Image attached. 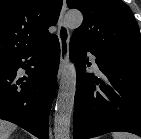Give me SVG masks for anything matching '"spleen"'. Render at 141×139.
Masks as SVG:
<instances>
[{
  "label": "spleen",
  "mask_w": 141,
  "mask_h": 139,
  "mask_svg": "<svg viewBox=\"0 0 141 139\" xmlns=\"http://www.w3.org/2000/svg\"><path fill=\"white\" fill-rule=\"evenodd\" d=\"M112 136L113 139H139V137L125 132H115Z\"/></svg>",
  "instance_id": "3e777b00"
}]
</instances>
